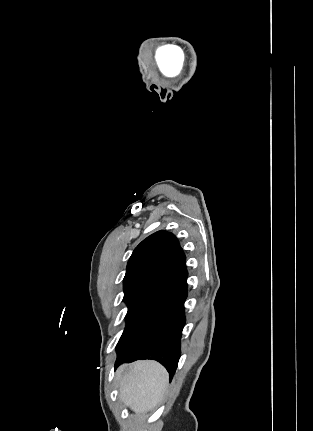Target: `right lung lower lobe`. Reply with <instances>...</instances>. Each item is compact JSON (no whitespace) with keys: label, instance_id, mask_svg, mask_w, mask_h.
I'll use <instances>...</instances> for the list:
<instances>
[{"label":"right lung lower lobe","instance_id":"1","mask_svg":"<svg viewBox=\"0 0 313 431\" xmlns=\"http://www.w3.org/2000/svg\"><path fill=\"white\" fill-rule=\"evenodd\" d=\"M187 276L183 265L146 299L117 344L115 368L124 362L153 359L167 369L172 379L181 354Z\"/></svg>","mask_w":313,"mask_h":431}]
</instances>
